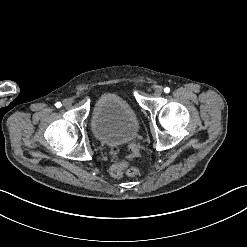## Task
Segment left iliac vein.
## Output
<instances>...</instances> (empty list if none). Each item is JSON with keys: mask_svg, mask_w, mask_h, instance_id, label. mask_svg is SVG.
I'll use <instances>...</instances> for the list:
<instances>
[{"mask_svg": "<svg viewBox=\"0 0 247 247\" xmlns=\"http://www.w3.org/2000/svg\"><path fill=\"white\" fill-rule=\"evenodd\" d=\"M163 90L161 88H157L154 92V95L159 97L162 95Z\"/></svg>", "mask_w": 247, "mask_h": 247, "instance_id": "4c4485c4", "label": "left iliac vein"}]
</instances>
